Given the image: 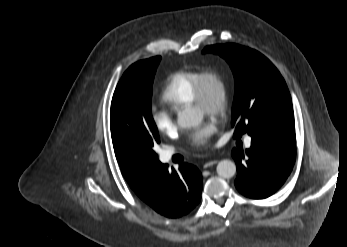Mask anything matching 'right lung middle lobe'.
Wrapping results in <instances>:
<instances>
[{"label":"right lung middle lobe","mask_w":347,"mask_h":247,"mask_svg":"<svg viewBox=\"0 0 347 247\" xmlns=\"http://www.w3.org/2000/svg\"><path fill=\"white\" fill-rule=\"evenodd\" d=\"M161 57L131 65L120 79L111 102L110 128L113 145L140 161L154 165L160 143L151 114L152 84Z\"/></svg>","instance_id":"obj_1"}]
</instances>
